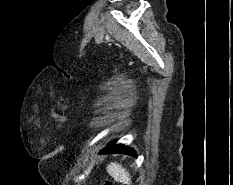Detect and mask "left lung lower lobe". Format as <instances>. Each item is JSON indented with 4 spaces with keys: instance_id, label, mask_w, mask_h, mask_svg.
I'll return each mask as SVG.
<instances>
[{
    "instance_id": "1",
    "label": "left lung lower lobe",
    "mask_w": 233,
    "mask_h": 185,
    "mask_svg": "<svg viewBox=\"0 0 233 185\" xmlns=\"http://www.w3.org/2000/svg\"><path fill=\"white\" fill-rule=\"evenodd\" d=\"M101 153H123L126 155L135 156L136 152L134 149L121 145H114V142L110 144L106 149L102 150Z\"/></svg>"
}]
</instances>
